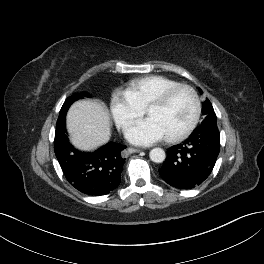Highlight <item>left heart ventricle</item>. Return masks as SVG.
<instances>
[{
  "mask_svg": "<svg viewBox=\"0 0 264 264\" xmlns=\"http://www.w3.org/2000/svg\"><path fill=\"white\" fill-rule=\"evenodd\" d=\"M193 114V98L188 91L181 90L165 106L150 110L147 116L168 137L182 132L190 124Z\"/></svg>",
  "mask_w": 264,
  "mask_h": 264,
  "instance_id": "1",
  "label": "left heart ventricle"
}]
</instances>
